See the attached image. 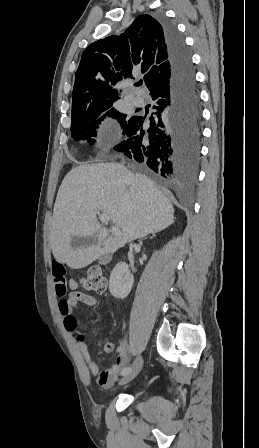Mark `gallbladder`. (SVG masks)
I'll list each match as a JSON object with an SVG mask.
<instances>
[{
  "label": "gallbladder",
  "mask_w": 259,
  "mask_h": 448,
  "mask_svg": "<svg viewBox=\"0 0 259 448\" xmlns=\"http://www.w3.org/2000/svg\"><path fill=\"white\" fill-rule=\"evenodd\" d=\"M98 236H88V238H77V236H72L71 238V248L76 252V250H81V248H90V246H97Z\"/></svg>",
  "instance_id": "obj_1"
}]
</instances>
